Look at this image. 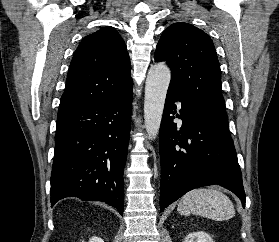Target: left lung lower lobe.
Wrapping results in <instances>:
<instances>
[{
  "label": "left lung lower lobe",
  "instance_id": "obj_1",
  "mask_svg": "<svg viewBox=\"0 0 279 242\" xmlns=\"http://www.w3.org/2000/svg\"><path fill=\"white\" fill-rule=\"evenodd\" d=\"M181 102L176 114L175 102ZM175 117L182 120L178 126ZM160 211L186 192L218 184L235 193L245 206V192L229 126L183 100L169 86L160 127Z\"/></svg>",
  "mask_w": 279,
  "mask_h": 242
}]
</instances>
